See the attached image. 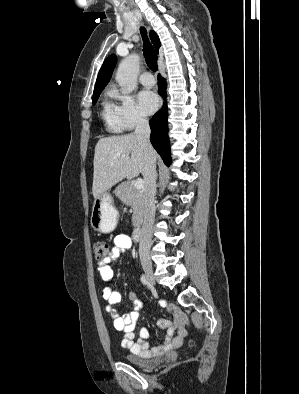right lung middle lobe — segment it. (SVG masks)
<instances>
[{
    "mask_svg": "<svg viewBox=\"0 0 299 394\" xmlns=\"http://www.w3.org/2000/svg\"><path fill=\"white\" fill-rule=\"evenodd\" d=\"M99 95H100V93L93 96V104L96 103V101H97Z\"/></svg>",
    "mask_w": 299,
    "mask_h": 394,
    "instance_id": "right-lung-middle-lobe-1",
    "label": "right lung middle lobe"
}]
</instances>
